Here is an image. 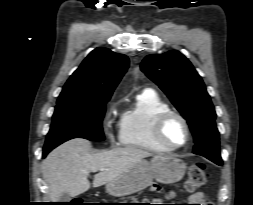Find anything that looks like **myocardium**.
Instances as JSON below:
<instances>
[{
	"label": "myocardium",
	"mask_w": 253,
	"mask_h": 205,
	"mask_svg": "<svg viewBox=\"0 0 253 205\" xmlns=\"http://www.w3.org/2000/svg\"><path fill=\"white\" fill-rule=\"evenodd\" d=\"M172 119H178L184 126L185 129V140L181 144H172L168 142L164 136V130L168 122ZM153 136L155 141L166 150H176L187 145L191 137L190 126L186 118L178 112L167 111L160 114L153 125Z\"/></svg>",
	"instance_id": "f54148a6"
}]
</instances>
